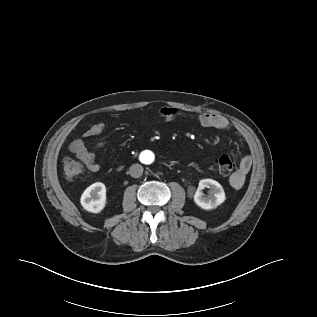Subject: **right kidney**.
Instances as JSON below:
<instances>
[{
	"mask_svg": "<svg viewBox=\"0 0 317 317\" xmlns=\"http://www.w3.org/2000/svg\"><path fill=\"white\" fill-rule=\"evenodd\" d=\"M83 208L92 213L101 212L106 205V187L101 182H96L85 189L81 199Z\"/></svg>",
	"mask_w": 317,
	"mask_h": 317,
	"instance_id": "right-kidney-1",
	"label": "right kidney"
}]
</instances>
